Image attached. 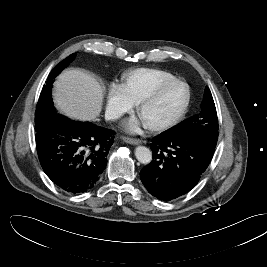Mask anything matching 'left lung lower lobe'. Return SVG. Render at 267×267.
Returning <instances> with one entry per match:
<instances>
[{"mask_svg":"<svg viewBox=\"0 0 267 267\" xmlns=\"http://www.w3.org/2000/svg\"><path fill=\"white\" fill-rule=\"evenodd\" d=\"M153 160L140 171L148 192L163 201L180 197L198 183L214 149L197 136L162 133L153 138Z\"/></svg>","mask_w":267,"mask_h":267,"instance_id":"1","label":"left lung lower lobe"}]
</instances>
